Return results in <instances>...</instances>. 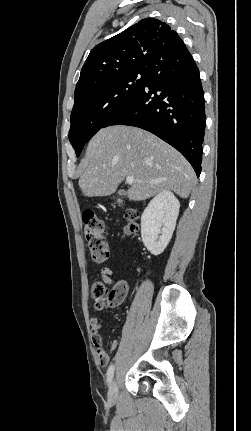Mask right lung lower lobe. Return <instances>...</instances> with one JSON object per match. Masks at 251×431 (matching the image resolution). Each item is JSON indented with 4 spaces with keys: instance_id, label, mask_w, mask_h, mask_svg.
<instances>
[{
    "instance_id": "right-lung-lower-lobe-1",
    "label": "right lung lower lobe",
    "mask_w": 251,
    "mask_h": 431,
    "mask_svg": "<svg viewBox=\"0 0 251 431\" xmlns=\"http://www.w3.org/2000/svg\"><path fill=\"white\" fill-rule=\"evenodd\" d=\"M206 116L199 70L180 47L158 56L146 68L143 86L106 123L145 129L174 148L201 173Z\"/></svg>"
}]
</instances>
